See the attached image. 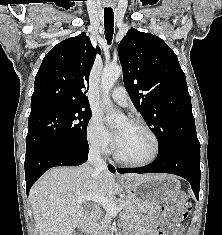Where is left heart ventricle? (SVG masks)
<instances>
[{"label": "left heart ventricle", "mask_w": 222, "mask_h": 235, "mask_svg": "<svg viewBox=\"0 0 222 235\" xmlns=\"http://www.w3.org/2000/svg\"><path fill=\"white\" fill-rule=\"evenodd\" d=\"M116 132L120 152L126 159L141 162L154 154V140L144 129L124 121L117 127Z\"/></svg>", "instance_id": "b2bd125f"}]
</instances>
